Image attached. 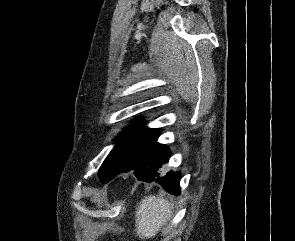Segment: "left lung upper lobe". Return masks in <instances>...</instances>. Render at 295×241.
Masks as SVG:
<instances>
[{
  "instance_id": "1",
  "label": "left lung upper lobe",
  "mask_w": 295,
  "mask_h": 241,
  "mask_svg": "<svg viewBox=\"0 0 295 241\" xmlns=\"http://www.w3.org/2000/svg\"><path fill=\"white\" fill-rule=\"evenodd\" d=\"M143 126L144 122L139 119L117 137L120 142L111 150L98 172L102 183L109 182L158 139L160 129L143 128Z\"/></svg>"
}]
</instances>
